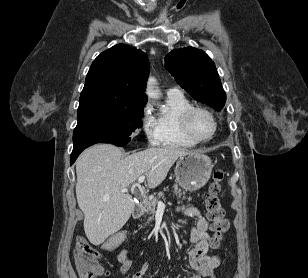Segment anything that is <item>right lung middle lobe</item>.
<instances>
[{
	"label": "right lung middle lobe",
	"instance_id": "1",
	"mask_svg": "<svg viewBox=\"0 0 308 278\" xmlns=\"http://www.w3.org/2000/svg\"><path fill=\"white\" fill-rule=\"evenodd\" d=\"M143 108L118 109L78 116L73 145L111 143L124 146L142 127Z\"/></svg>",
	"mask_w": 308,
	"mask_h": 278
}]
</instances>
